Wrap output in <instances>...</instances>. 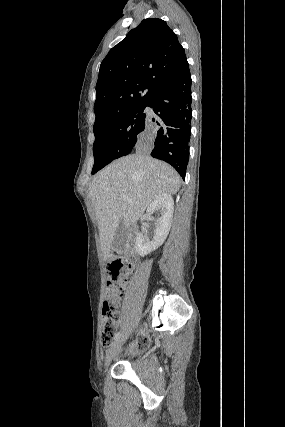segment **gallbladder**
<instances>
[{
	"mask_svg": "<svg viewBox=\"0 0 285 427\" xmlns=\"http://www.w3.org/2000/svg\"><path fill=\"white\" fill-rule=\"evenodd\" d=\"M126 244V231L121 222L115 231V235L112 241L111 249L121 253L125 248Z\"/></svg>",
	"mask_w": 285,
	"mask_h": 427,
	"instance_id": "1",
	"label": "gallbladder"
}]
</instances>
